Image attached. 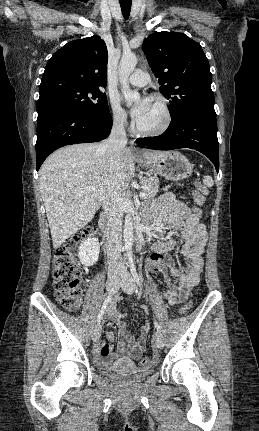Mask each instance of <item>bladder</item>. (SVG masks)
Segmentation results:
<instances>
[{
	"label": "bladder",
	"mask_w": 259,
	"mask_h": 431,
	"mask_svg": "<svg viewBox=\"0 0 259 431\" xmlns=\"http://www.w3.org/2000/svg\"><path fill=\"white\" fill-rule=\"evenodd\" d=\"M101 373L120 381H136L148 377L153 373L152 368H139L132 363L118 362L101 368Z\"/></svg>",
	"instance_id": "obj_1"
}]
</instances>
